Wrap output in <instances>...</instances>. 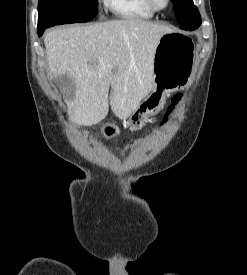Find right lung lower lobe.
I'll list each match as a JSON object with an SVG mask.
<instances>
[{"mask_svg":"<svg viewBox=\"0 0 247 275\" xmlns=\"http://www.w3.org/2000/svg\"><path fill=\"white\" fill-rule=\"evenodd\" d=\"M45 29H46V28H39V27H38V35H39V36H42V34H43V32H44Z\"/></svg>","mask_w":247,"mask_h":275,"instance_id":"98d812e1","label":"right lung lower lobe"}]
</instances>
